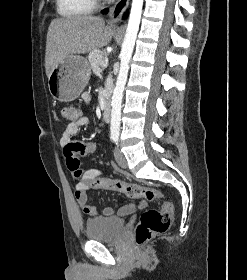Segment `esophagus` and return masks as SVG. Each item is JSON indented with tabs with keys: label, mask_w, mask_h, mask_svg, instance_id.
Instances as JSON below:
<instances>
[{
	"label": "esophagus",
	"mask_w": 247,
	"mask_h": 280,
	"mask_svg": "<svg viewBox=\"0 0 247 280\" xmlns=\"http://www.w3.org/2000/svg\"><path fill=\"white\" fill-rule=\"evenodd\" d=\"M130 0H118L114 5L111 14H110V22L116 23L119 22L126 11Z\"/></svg>",
	"instance_id": "1"
}]
</instances>
